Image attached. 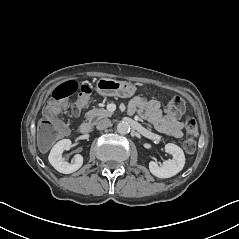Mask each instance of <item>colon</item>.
Returning <instances> with one entry per match:
<instances>
[{
  "label": "colon",
  "instance_id": "colon-1",
  "mask_svg": "<svg viewBox=\"0 0 239 239\" xmlns=\"http://www.w3.org/2000/svg\"><path fill=\"white\" fill-rule=\"evenodd\" d=\"M79 92L77 102L73 106V111L79 113L91 101V89L88 85H78L75 81H67L58 85L49 96L44 110V118L39 126L40 139L43 145H47L57 140L63 133V127L55 118V115L61 110L66 101ZM186 103L180 96L172 97L166 110L169 115L178 116L184 113ZM187 138L183 147L187 153H193L196 150L197 124L193 117L186 118Z\"/></svg>",
  "mask_w": 239,
  "mask_h": 239
}]
</instances>
